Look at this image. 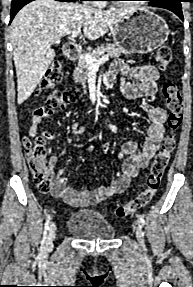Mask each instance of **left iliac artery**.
<instances>
[{
    "instance_id": "1",
    "label": "left iliac artery",
    "mask_w": 193,
    "mask_h": 287,
    "mask_svg": "<svg viewBox=\"0 0 193 287\" xmlns=\"http://www.w3.org/2000/svg\"><path fill=\"white\" fill-rule=\"evenodd\" d=\"M137 217H138L140 223H141L142 225H144V224H145V220H144L143 215H137Z\"/></svg>"
}]
</instances>
